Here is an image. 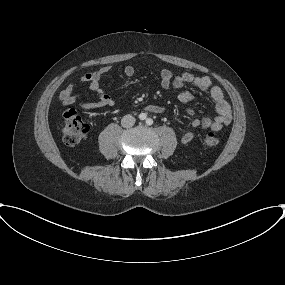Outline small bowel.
<instances>
[{
	"label": "small bowel",
	"mask_w": 285,
	"mask_h": 285,
	"mask_svg": "<svg viewBox=\"0 0 285 285\" xmlns=\"http://www.w3.org/2000/svg\"><path fill=\"white\" fill-rule=\"evenodd\" d=\"M109 71L108 67H103L99 70L86 73L83 75L79 82L87 84L88 89L96 96V99L80 104L84 110H92L99 107H111L114 105V100L111 96L104 93L100 87V79ZM136 70L132 65H127L124 68L126 76L131 77L135 74ZM160 85L165 90H171L177 93V97L182 102H187L193 98V93L182 88L186 84H190L195 88L207 92L213 100L217 114L213 117H203L201 119H193L181 136L182 144H189L195 137V131L213 130L219 131L224 126L230 124L232 120V111L229 103L224 97V94L219 86L213 85L212 80L208 76H199L190 72H184L175 75L168 69H162L159 73ZM77 86L69 84L59 94V100L64 106H69L77 102L79 94L76 92ZM147 110L153 113H162L164 108L160 105H149ZM186 112L194 115L192 109H187Z\"/></svg>",
	"instance_id": "obj_1"
}]
</instances>
